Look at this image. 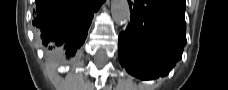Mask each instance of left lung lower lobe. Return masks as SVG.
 <instances>
[{"instance_id":"1","label":"left lung lower lobe","mask_w":228,"mask_h":90,"mask_svg":"<svg viewBox=\"0 0 228 90\" xmlns=\"http://www.w3.org/2000/svg\"><path fill=\"white\" fill-rule=\"evenodd\" d=\"M131 21L119 34L120 63L143 80L166 76L186 44L185 0H128Z\"/></svg>"}]
</instances>
